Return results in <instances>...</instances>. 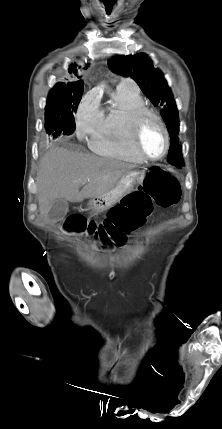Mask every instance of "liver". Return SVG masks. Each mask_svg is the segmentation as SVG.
Here are the masks:
<instances>
[{
    "instance_id": "liver-1",
    "label": "liver",
    "mask_w": 222,
    "mask_h": 429,
    "mask_svg": "<svg viewBox=\"0 0 222 429\" xmlns=\"http://www.w3.org/2000/svg\"><path fill=\"white\" fill-rule=\"evenodd\" d=\"M135 167L89 153L50 149L41 159L36 178L40 215L46 217L53 203L60 199L81 202L101 196Z\"/></svg>"
}]
</instances>
